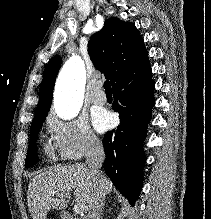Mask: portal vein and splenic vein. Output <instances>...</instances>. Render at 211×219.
I'll return each instance as SVG.
<instances>
[{
  "mask_svg": "<svg viewBox=\"0 0 211 219\" xmlns=\"http://www.w3.org/2000/svg\"><path fill=\"white\" fill-rule=\"evenodd\" d=\"M58 197L60 198H70V196L68 194H57ZM74 212L79 214L80 212H82L81 208L78 205L74 206Z\"/></svg>",
  "mask_w": 211,
  "mask_h": 219,
  "instance_id": "portal-vein-and-splenic-vein-1",
  "label": "portal vein and splenic vein"
}]
</instances>
